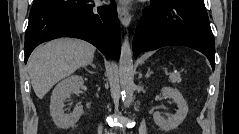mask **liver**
<instances>
[{
	"label": "liver",
	"instance_id": "liver-1",
	"mask_svg": "<svg viewBox=\"0 0 239 134\" xmlns=\"http://www.w3.org/2000/svg\"><path fill=\"white\" fill-rule=\"evenodd\" d=\"M96 48L83 40L61 38L36 48L28 60V73L36 96L42 99L61 79L88 65Z\"/></svg>",
	"mask_w": 239,
	"mask_h": 134
}]
</instances>
